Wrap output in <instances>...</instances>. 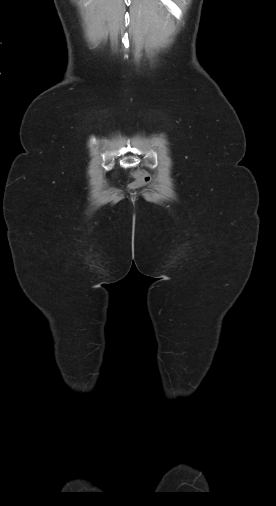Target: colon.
<instances>
[{"label":"colon","mask_w":276,"mask_h":506,"mask_svg":"<svg viewBox=\"0 0 276 506\" xmlns=\"http://www.w3.org/2000/svg\"><path fill=\"white\" fill-rule=\"evenodd\" d=\"M135 181L132 183L133 188H140L148 184L150 177L144 170H138L134 173Z\"/></svg>","instance_id":"5ec220e1"}]
</instances>
